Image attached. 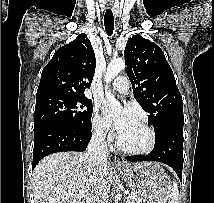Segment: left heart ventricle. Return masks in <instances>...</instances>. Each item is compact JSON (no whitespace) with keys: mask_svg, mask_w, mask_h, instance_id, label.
<instances>
[{"mask_svg":"<svg viewBox=\"0 0 214 203\" xmlns=\"http://www.w3.org/2000/svg\"><path fill=\"white\" fill-rule=\"evenodd\" d=\"M148 132L139 122H133L123 132L120 133V139L124 146L138 149L144 147L148 142Z\"/></svg>","mask_w":214,"mask_h":203,"instance_id":"1","label":"left heart ventricle"}]
</instances>
